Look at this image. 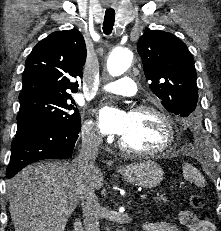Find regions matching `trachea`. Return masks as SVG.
<instances>
[{
	"label": "trachea",
	"mask_w": 221,
	"mask_h": 231,
	"mask_svg": "<svg viewBox=\"0 0 221 231\" xmlns=\"http://www.w3.org/2000/svg\"><path fill=\"white\" fill-rule=\"evenodd\" d=\"M115 22V11L113 10H106L103 22V31L106 35H109L114 26Z\"/></svg>",
	"instance_id": "1"
}]
</instances>
